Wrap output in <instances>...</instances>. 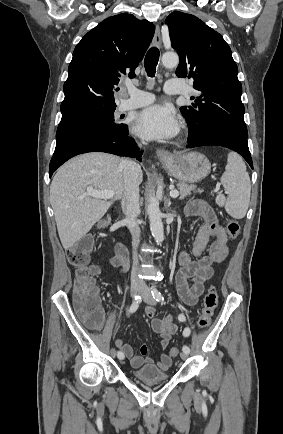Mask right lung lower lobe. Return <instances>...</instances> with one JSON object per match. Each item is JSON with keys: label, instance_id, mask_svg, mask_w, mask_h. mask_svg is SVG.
<instances>
[{"label": "right lung lower lobe", "instance_id": "obj_1", "mask_svg": "<svg viewBox=\"0 0 283 434\" xmlns=\"http://www.w3.org/2000/svg\"><path fill=\"white\" fill-rule=\"evenodd\" d=\"M136 149V150H134ZM106 152L119 156L136 157L141 161L142 151L128 137L126 131L95 129L71 135L56 143V148L49 166V175L68 159L87 152Z\"/></svg>", "mask_w": 283, "mask_h": 434}]
</instances>
